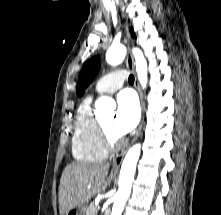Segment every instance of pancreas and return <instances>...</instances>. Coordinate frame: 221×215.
I'll return each mask as SVG.
<instances>
[{
    "label": "pancreas",
    "mask_w": 221,
    "mask_h": 215,
    "mask_svg": "<svg viewBox=\"0 0 221 215\" xmlns=\"http://www.w3.org/2000/svg\"><path fill=\"white\" fill-rule=\"evenodd\" d=\"M97 207L94 204L86 207L85 215H97Z\"/></svg>",
    "instance_id": "cf45deb5"
}]
</instances>
